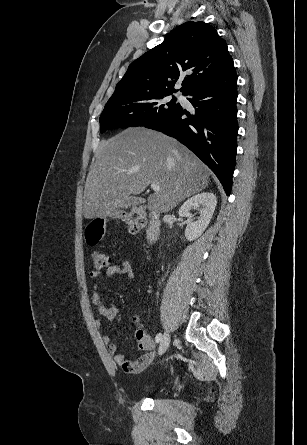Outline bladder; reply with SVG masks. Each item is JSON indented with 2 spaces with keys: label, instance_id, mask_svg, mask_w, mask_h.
I'll return each instance as SVG.
<instances>
[{
  "label": "bladder",
  "instance_id": "obj_1",
  "mask_svg": "<svg viewBox=\"0 0 307 445\" xmlns=\"http://www.w3.org/2000/svg\"><path fill=\"white\" fill-rule=\"evenodd\" d=\"M152 391V388L151 387H146V388H144V392H146V393H149V392H151Z\"/></svg>",
  "mask_w": 307,
  "mask_h": 445
}]
</instances>
